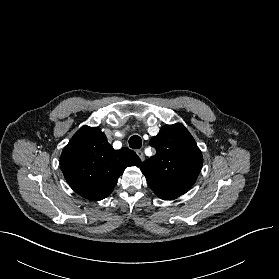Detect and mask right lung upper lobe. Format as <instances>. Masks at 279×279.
Listing matches in <instances>:
<instances>
[{"mask_svg": "<svg viewBox=\"0 0 279 279\" xmlns=\"http://www.w3.org/2000/svg\"><path fill=\"white\" fill-rule=\"evenodd\" d=\"M61 168L71 188L90 201L106 198L129 166L140 158L126 147L114 150L98 127L80 128L62 151Z\"/></svg>", "mask_w": 279, "mask_h": 279, "instance_id": "cb5924a9", "label": "right lung upper lobe"}]
</instances>
